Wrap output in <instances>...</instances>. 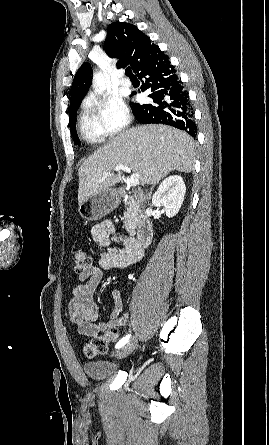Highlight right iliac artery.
Here are the masks:
<instances>
[{"label":"right iliac artery","instance_id":"82829eb1","mask_svg":"<svg viewBox=\"0 0 269 445\" xmlns=\"http://www.w3.org/2000/svg\"><path fill=\"white\" fill-rule=\"evenodd\" d=\"M129 338H130V334L129 335H126L125 337H123L117 344H116V348H121V347H123L128 341H129Z\"/></svg>","mask_w":269,"mask_h":445}]
</instances>
